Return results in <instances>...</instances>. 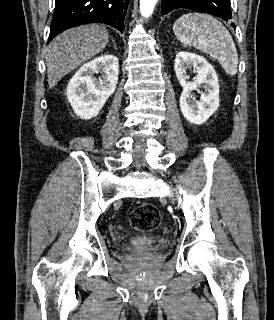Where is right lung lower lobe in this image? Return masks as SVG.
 Listing matches in <instances>:
<instances>
[{
	"mask_svg": "<svg viewBox=\"0 0 274 320\" xmlns=\"http://www.w3.org/2000/svg\"><path fill=\"white\" fill-rule=\"evenodd\" d=\"M130 0H56L48 43L66 29L104 23L122 31Z\"/></svg>",
	"mask_w": 274,
	"mask_h": 320,
	"instance_id": "1",
	"label": "right lung lower lobe"
}]
</instances>
